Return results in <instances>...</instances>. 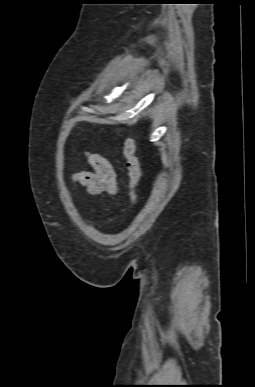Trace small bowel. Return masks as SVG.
Instances as JSON below:
<instances>
[{
  "label": "small bowel",
  "instance_id": "obj_1",
  "mask_svg": "<svg viewBox=\"0 0 255 387\" xmlns=\"http://www.w3.org/2000/svg\"><path fill=\"white\" fill-rule=\"evenodd\" d=\"M86 156L92 170L77 173L74 177L75 180L83 185L91 195L102 192L115 195L118 189L117 174L111 162L95 153L87 152Z\"/></svg>",
  "mask_w": 255,
  "mask_h": 387
}]
</instances>
